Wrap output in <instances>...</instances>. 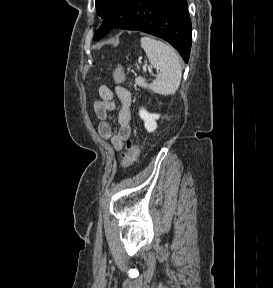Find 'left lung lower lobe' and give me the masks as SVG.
<instances>
[{
	"instance_id": "0a47b994",
	"label": "left lung lower lobe",
	"mask_w": 273,
	"mask_h": 288,
	"mask_svg": "<svg viewBox=\"0 0 273 288\" xmlns=\"http://www.w3.org/2000/svg\"><path fill=\"white\" fill-rule=\"evenodd\" d=\"M117 28L160 37L175 47L188 63L192 28L186 0H133Z\"/></svg>"
}]
</instances>
